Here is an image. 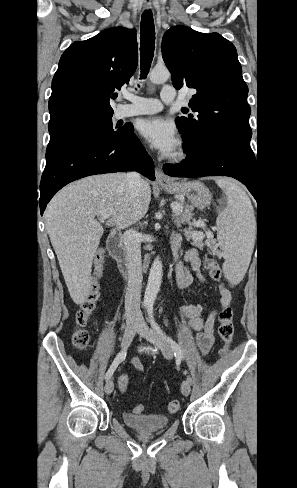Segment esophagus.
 <instances>
[{
	"instance_id": "1",
	"label": "esophagus",
	"mask_w": 297,
	"mask_h": 488,
	"mask_svg": "<svg viewBox=\"0 0 297 488\" xmlns=\"http://www.w3.org/2000/svg\"><path fill=\"white\" fill-rule=\"evenodd\" d=\"M144 7L146 9H149L151 7V0H146L144 3ZM155 176H156V181L159 184H169L171 183V180L163 173L162 169L157 167L155 169Z\"/></svg>"
}]
</instances>
